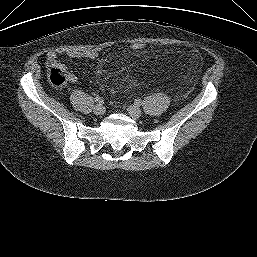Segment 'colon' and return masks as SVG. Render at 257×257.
I'll return each instance as SVG.
<instances>
[{"label":"colon","instance_id":"obj_1","mask_svg":"<svg viewBox=\"0 0 257 257\" xmlns=\"http://www.w3.org/2000/svg\"><path fill=\"white\" fill-rule=\"evenodd\" d=\"M145 46L146 45L141 42H132L129 44V47L134 51H141L145 48ZM48 76L50 82L55 86H64L68 81L66 71L57 62L49 64Z\"/></svg>","mask_w":257,"mask_h":257}]
</instances>
